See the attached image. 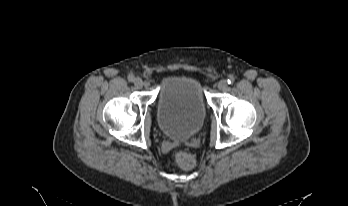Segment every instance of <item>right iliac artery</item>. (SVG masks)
Segmentation results:
<instances>
[{"label": "right iliac artery", "mask_w": 348, "mask_h": 206, "mask_svg": "<svg viewBox=\"0 0 348 206\" xmlns=\"http://www.w3.org/2000/svg\"><path fill=\"white\" fill-rule=\"evenodd\" d=\"M128 80L130 82H133L135 80V77L131 74V75L128 76Z\"/></svg>", "instance_id": "82829eb1"}]
</instances>
